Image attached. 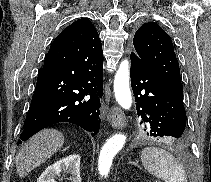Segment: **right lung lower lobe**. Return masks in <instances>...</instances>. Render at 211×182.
Returning a JSON list of instances; mask_svg holds the SVG:
<instances>
[{
  "instance_id": "right-lung-lower-lobe-1",
  "label": "right lung lower lobe",
  "mask_w": 211,
  "mask_h": 182,
  "mask_svg": "<svg viewBox=\"0 0 211 182\" xmlns=\"http://www.w3.org/2000/svg\"><path fill=\"white\" fill-rule=\"evenodd\" d=\"M102 77L103 52L98 33L63 45L54 41L17 145L59 122L76 124L95 136L101 122Z\"/></svg>"
}]
</instances>
